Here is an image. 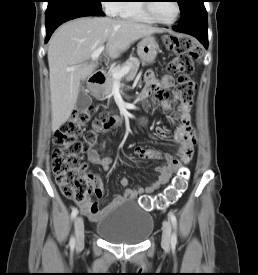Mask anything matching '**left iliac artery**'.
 Masks as SVG:
<instances>
[{"label": "left iliac artery", "mask_w": 258, "mask_h": 275, "mask_svg": "<svg viewBox=\"0 0 258 275\" xmlns=\"http://www.w3.org/2000/svg\"><path fill=\"white\" fill-rule=\"evenodd\" d=\"M168 216H169L171 223L173 225V228H174V232L171 236V245L175 246L177 244V234H176L177 219H176V216L172 212H169Z\"/></svg>", "instance_id": "left-iliac-artery-1"}]
</instances>
